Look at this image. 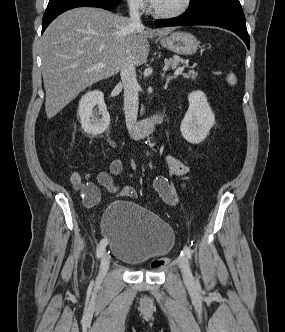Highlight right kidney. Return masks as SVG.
<instances>
[{
  "mask_svg": "<svg viewBox=\"0 0 285 332\" xmlns=\"http://www.w3.org/2000/svg\"><path fill=\"white\" fill-rule=\"evenodd\" d=\"M96 106L98 112L93 110ZM78 114L84 132L89 135L102 134L110 124V115L104 102V95L99 90L90 91L81 98Z\"/></svg>",
  "mask_w": 285,
  "mask_h": 332,
  "instance_id": "ca27d5eb",
  "label": "right kidney"
}]
</instances>
